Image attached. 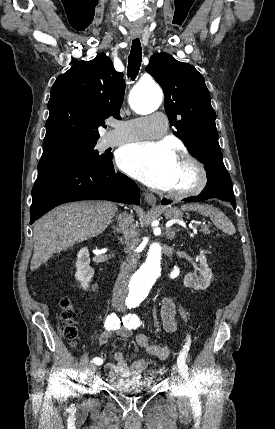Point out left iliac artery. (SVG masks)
Segmentation results:
<instances>
[{
    "label": "left iliac artery",
    "instance_id": "obj_1",
    "mask_svg": "<svg viewBox=\"0 0 275 429\" xmlns=\"http://www.w3.org/2000/svg\"><path fill=\"white\" fill-rule=\"evenodd\" d=\"M140 324H141V321L136 314H128L125 317H123V325L128 329H136L140 326ZM190 343H191V339H190V335H188L187 336V342H186L183 350L181 351V353L179 354L178 359H177V365L179 368V373L181 374V376L185 380H188V367L186 364V357L188 354ZM190 398H191L192 405L194 407H198L199 406V399H198V394H197L196 390L191 391Z\"/></svg>",
    "mask_w": 275,
    "mask_h": 429
}]
</instances>
